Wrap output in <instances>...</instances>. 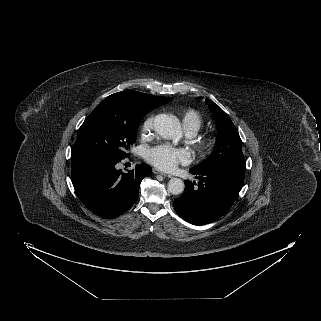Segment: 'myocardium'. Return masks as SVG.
Listing matches in <instances>:
<instances>
[{"label": "myocardium", "mask_w": 321, "mask_h": 321, "mask_svg": "<svg viewBox=\"0 0 321 321\" xmlns=\"http://www.w3.org/2000/svg\"><path fill=\"white\" fill-rule=\"evenodd\" d=\"M199 150L204 153H210L216 145V137L212 134L202 136L197 140Z\"/></svg>", "instance_id": "f54148a6"}]
</instances>
